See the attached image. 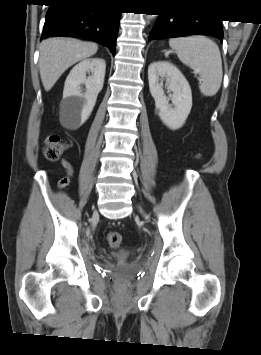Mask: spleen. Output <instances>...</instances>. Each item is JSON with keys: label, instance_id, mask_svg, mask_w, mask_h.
Here are the masks:
<instances>
[{"label": "spleen", "instance_id": "1", "mask_svg": "<svg viewBox=\"0 0 261 355\" xmlns=\"http://www.w3.org/2000/svg\"><path fill=\"white\" fill-rule=\"evenodd\" d=\"M169 45L183 64L199 74L201 94L214 96L221 87L223 77L218 45L205 36L172 38Z\"/></svg>", "mask_w": 261, "mask_h": 355}]
</instances>
